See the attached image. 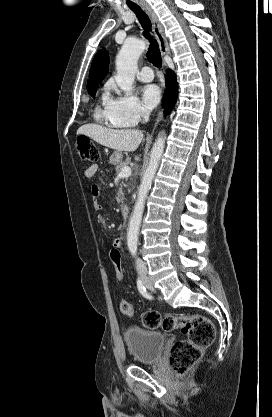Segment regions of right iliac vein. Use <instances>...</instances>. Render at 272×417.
Masks as SVG:
<instances>
[{
    "mask_svg": "<svg viewBox=\"0 0 272 417\" xmlns=\"http://www.w3.org/2000/svg\"><path fill=\"white\" fill-rule=\"evenodd\" d=\"M145 283H146L147 285H150V282H149V280H147V279H145Z\"/></svg>",
    "mask_w": 272,
    "mask_h": 417,
    "instance_id": "1",
    "label": "right iliac vein"
}]
</instances>
